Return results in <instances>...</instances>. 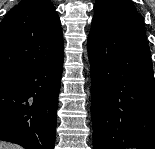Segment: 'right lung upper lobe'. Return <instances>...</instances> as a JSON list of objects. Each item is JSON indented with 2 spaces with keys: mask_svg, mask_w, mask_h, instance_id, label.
<instances>
[{
  "mask_svg": "<svg viewBox=\"0 0 155 149\" xmlns=\"http://www.w3.org/2000/svg\"><path fill=\"white\" fill-rule=\"evenodd\" d=\"M50 0H22L0 23V73L19 74L63 55L60 19Z\"/></svg>",
  "mask_w": 155,
  "mask_h": 149,
  "instance_id": "right-lung-upper-lobe-1",
  "label": "right lung upper lobe"
}]
</instances>
